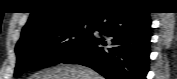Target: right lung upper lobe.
Listing matches in <instances>:
<instances>
[{
    "mask_svg": "<svg viewBox=\"0 0 177 79\" xmlns=\"http://www.w3.org/2000/svg\"><path fill=\"white\" fill-rule=\"evenodd\" d=\"M110 3H91L87 0H39L34 3L21 37L36 30L75 21H92L102 10L115 6Z\"/></svg>",
    "mask_w": 177,
    "mask_h": 79,
    "instance_id": "right-lung-upper-lobe-1",
    "label": "right lung upper lobe"
}]
</instances>
